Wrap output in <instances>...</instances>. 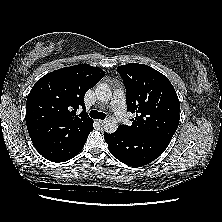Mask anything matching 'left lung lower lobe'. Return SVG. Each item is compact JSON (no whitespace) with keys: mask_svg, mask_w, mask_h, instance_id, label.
<instances>
[{"mask_svg":"<svg viewBox=\"0 0 222 222\" xmlns=\"http://www.w3.org/2000/svg\"><path fill=\"white\" fill-rule=\"evenodd\" d=\"M109 151L119 161L140 167L158 158L169 145L171 138L156 135H137L117 129L104 134Z\"/></svg>","mask_w":222,"mask_h":222,"instance_id":"obj_1","label":"left lung lower lobe"}]
</instances>
